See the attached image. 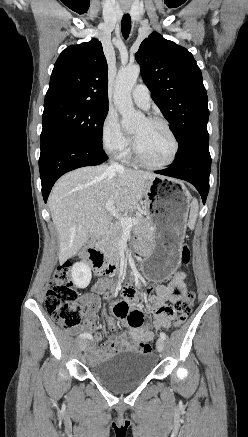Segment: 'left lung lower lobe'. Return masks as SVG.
<instances>
[{"label":"left lung lower lobe","instance_id":"obj_1","mask_svg":"<svg viewBox=\"0 0 248 437\" xmlns=\"http://www.w3.org/2000/svg\"><path fill=\"white\" fill-rule=\"evenodd\" d=\"M208 144V134L198 136L183 153L176 155L174 163L169 168L155 171V173L190 182L199 191L205 204L211 168Z\"/></svg>","mask_w":248,"mask_h":437}]
</instances>
